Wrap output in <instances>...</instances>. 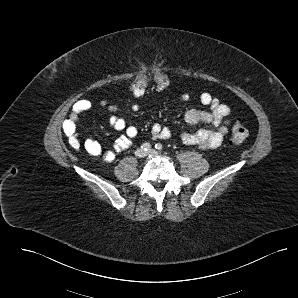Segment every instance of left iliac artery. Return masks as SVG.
Wrapping results in <instances>:
<instances>
[{
	"label": "left iliac artery",
	"instance_id": "left-iliac-artery-1",
	"mask_svg": "<svg viewBox=\"0 0 298 298\" xmlns=\"http://www.w3.org/2000/svg\"><path fill=\"white\" fill-rule=\"evenodd\" d=\"M155 148H156L157 150L161 151L162 148H163V146H162L161 143H157V144L155 145Z\"/></svg>",
	"mask_w": 298,
	"mask_h": 298
}]
</instances>
